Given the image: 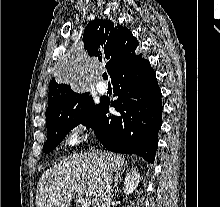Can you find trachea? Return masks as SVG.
Wrapping results in <instances>:
<instances>
[{
	"label": "trachea",
	"instance_id": "obj_1",
	"mask_svg": "<svg viewBox=\"0 0 220 207\" xmlns=\"http://www.w3.org/2000/svg\"><path fill=\"white\" fill-rule=\"evenodd\" d=\"M103 79H104V80H107V79H108L107 73H104V74H103Z\"/></svg>",
	"mask_w": 220,
	"mask_h": 207
}]
</instances>
